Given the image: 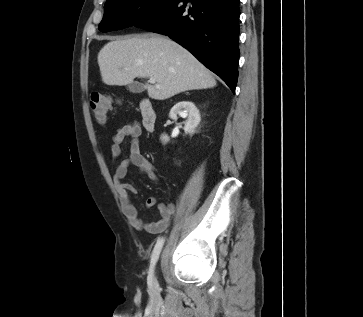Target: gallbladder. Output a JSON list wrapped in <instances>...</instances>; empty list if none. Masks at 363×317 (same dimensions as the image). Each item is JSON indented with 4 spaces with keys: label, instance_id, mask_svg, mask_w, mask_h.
Wrapping results in <instances>:
<instances>
[{
    "label": "gallbladder",
    "instance_id": "1",
    "mask_svg": "<svg viewBox=\"0 0 363 317\" xmlns=\"http://www.w3.org/2000/svg\"><path fill=\"white\" fill-rule=\"evenodd\" d=\"M127 88L131 93H141L144 91L143 84L139 82H132L128 84Z\"/></svg>",
    "mask_w": 363,
    "mask_h": 317
}]
</instances>
